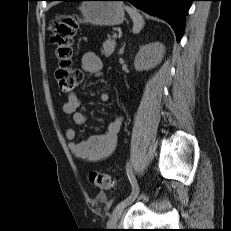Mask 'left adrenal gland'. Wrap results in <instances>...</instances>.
Wrapping results in <instances>:
<instances>
[{
    "instance_id": "a2214340",
    "label": "left adrenal gland",
    "mask_w": 231,
    "mask_h": 231,
    "mask_svg": "<svg viewBox=\"0 0 231 231\" xmlns=\"http://www.w3.org/2000/svg\"><path fill=\"white\" fill-rule=\"evenodd\" d=\"M124 48H125V44L123 45V47L120 49L119 54H122L124 52Z\"/></svg>"
}]
</instances>
